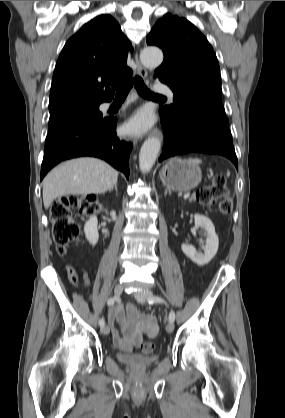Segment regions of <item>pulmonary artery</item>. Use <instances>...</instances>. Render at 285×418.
<instances>
[{
	"instance_id": "e3ab8cb5",
	"label": "pulmonary artery",
	"mask_w": 285,
	"mask_h": 418,
	"mask_svg": "<svg viewBox=\"0 0 285 418\" xmlns=\"http://www.w3.org/2000/svg\"><path fill=\"white\" fill-rule=\"evenodd\" d=\"M155 90H156V92H160V93L165 94L169 98H173L174 95H175L174 91L167 86L158 85V86L155 87ZM108 106H109V103H105L103 105L104 108H107Z\"/></svg>"
}]
</instances>
